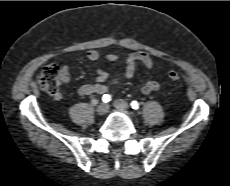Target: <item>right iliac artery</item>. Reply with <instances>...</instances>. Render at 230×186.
Returning <instances> with one entry per match:
<instances>
[{
    "label": "right iliac artery",
    "instance_id": "right-iliac-artery-1",
    "mask_svg": "<svg viewBox=\"0 0 230 186\" xmlns=\"http://www.w3.org/2000/svg\"><path fill=\"white\" fill-rule=\"evenodd\" d=\"M103 102L108 103L111 101V95L109 94H104L102 97Z\"/></svg>",
    "mask_w": 230,
    "mask_h": 186
}]
</instances>
